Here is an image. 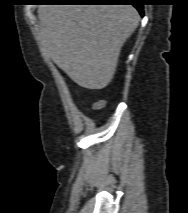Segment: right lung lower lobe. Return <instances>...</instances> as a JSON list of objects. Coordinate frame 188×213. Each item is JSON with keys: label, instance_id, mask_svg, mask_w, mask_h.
I'll list each match as a JSON object with an SVG mask.
<instances>
[{"label": "right lung lower lobe", "instance_id": "obj_1", "mask_svg": "<svg viewBox=\"0 0 188 213\" xmlns=\"http://www.w3.org/2000/svg\"><path fill=\"white\" fill-rule=\"evenodd\" d=\"M47 2H72V3H129L137 8L141 15H143V4L139 0H48Z\"/></svg>", "mask_w": 188, "mask_h": 213}]
</instances>
